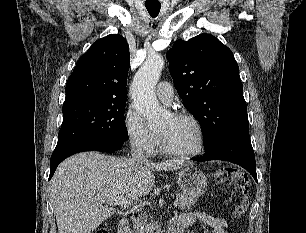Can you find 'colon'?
Listing matches in <instances>:
<instances>
[{
	"label": "colon",
	"instance_id": "obj_1",
	"mask_svg": "<svg viewBox=\"0 0 306 233\" xmlns=\"http://www.w3.org/2000/svg\"><path fill=\"white\" fill-rule=\"evenodd\" d=\"M215 176L219 183L229 184L234 182L236 186L241 190L243 196L235 205L233 215L235 218L243 217L248 210V201L245 196L249 189V180L247 175L232 167H221L217 170ZM94 233H109L108 224L105 223L103 226L96 229Z\"/></svg>",
	"mask_w": 306,
	"mask_h": 233
}]
</instances>
